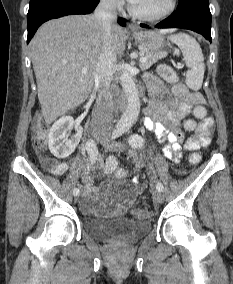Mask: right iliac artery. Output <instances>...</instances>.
Here are the masks:
<instances>
[{
    "instance_id": "1",
    "label": "right iliac artery",
    "mask_w": 233,
    "mask_h": 284,
    "mask_svg": "<svg viewBox=\"0 0 233 284\" xmlns=\"http://www.w3.org/2000/svg\"><path fill=\"white\" fill-rule=\"evenodd\" d=\"M86 150L89 154L91 164L95 163V161L98 157V150H97V146H96V143L94 142V140L90 139L86 142ZM79 193H80V190L78 188H75L73 190V194L75 196H78Z\"/></svg>"
}]
</instances>
